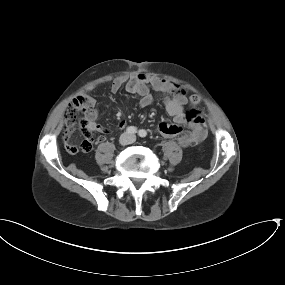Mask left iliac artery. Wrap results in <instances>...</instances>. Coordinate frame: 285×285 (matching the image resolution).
Masks as SVG:
<instances>
[{"instance_id": "1", "label": "left iliac artery", "mask_w": 285, "mask_h": 285, "mask_svg": "<svg viewBox=\"0 0 285 285\" xmlns=\"http://www.w3.org/2000/svg\"><path fill=\"white\" fill-rule=\"evenodd\" d=\"M138 135L142 138L146 137L147 132L145 130H139Z\"/></svg>"}]
</instances>
